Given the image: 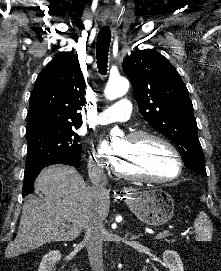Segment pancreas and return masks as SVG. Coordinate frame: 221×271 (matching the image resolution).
I'll return each instance as SVG.
<instances>
[{"instance_id":"1","label":"pancreas","mask_w":221,"mask_h":271,"mask_svg":"<svg viewBox=\"0 0 221 271\" xmlns=\"http://www.w3.org/2000/svg\"><path fill=\"white\" fill-rule=\"evenodd\" d=\"M165 244L171 247L173 244H176V239H165Z\"/></svg>"}]
</instances>
